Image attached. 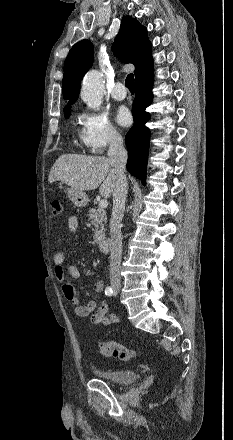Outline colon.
I'll return each instance as SVG.
<instances>
[{
	"label": "colon",
	"mask_w": 233,
	"mask_h": 440,
	"mask_svg": "<svg viewBox=\"0 0 233 440\" xmlns=\"http://www.w3.org/2000/svg\"><path fill=\"white\" fill-rule=\"evenodd\" d=\"M52 214L54 216H61L63 214V204L60 200H54L52 202ZM98 349L100 353L107 358H114L123 361L131 360L137 355L135 350L112 340L99 341Z\"/></svg>",
	"instance_id": "obj_1"
}]
</instances>
